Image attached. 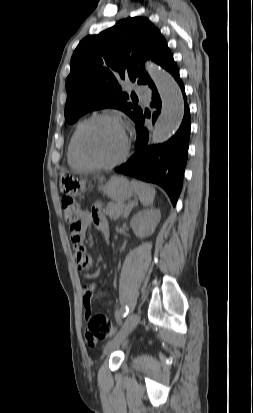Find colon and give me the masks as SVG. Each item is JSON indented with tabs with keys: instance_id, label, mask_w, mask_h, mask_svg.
Wrapping results in <instances>:
<instances>
[{
	"instance_id": "5ec220e1",
	"label": "colon",
	"mask_w": 253,
	"mask_h": 413,
	"mask_svg": "<svg viewBox=\"0 0 253 413\" xmlns=\"http://www.w3.org/2000/svg\"><path fill=\"white\" fill-rule=\"evenodd\" d=\"M61 204L64 212L65 221L71 227H77L79 224L81 209L79 204L69 196H63ZM115 333L111 321L102 314H96L89 318L86 339L93 344L97 340H103L111 337Z\"/></svg>"
}]
</instances>
